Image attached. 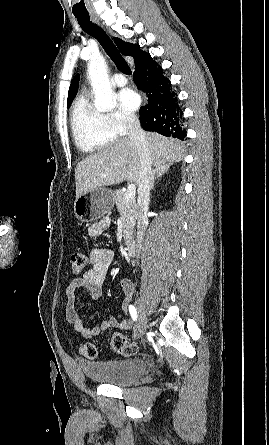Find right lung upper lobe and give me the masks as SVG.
Instances as JSON below:
<instances>
[{
  "label": "right lung upper lobe",
  "instance_id": "obj_1",
  "mask_svg": "<svg viewBox=\"0 0 269 445\" xmlns=\"http://www.w3.org/2000/svg\"><path fill=\"white\" fill-rule=\"evenodd\" d=\"M114 42L119 48L120 52L125 56H131L134 58L135 66L142 61L150 58V54L141 50L140 46L138 44H132L125 42L119 38H114ZM79 85V75H76L70 85L69 92H68V102L73 100L77 88Z\"/></svg>",
  "mask_w": 269,
  "mask_h": 445
}]
</instances>
